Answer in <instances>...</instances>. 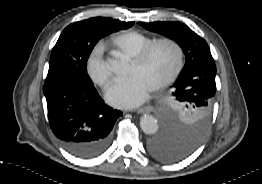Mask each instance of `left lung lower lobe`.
I'll return each mask as SVG.
<instances>
[{
  "mask_svg": "<svg viewBox=\"0 0 262 184\" xmlns=\"http://www.w3.org/2000/svg\"><path fill=\"white\" fill-rule=\"evenodd\" d=\"M208 63H214V60ZM196 148L188 143L169 137L164 131L148 143L149 152L155 158L164 162L182 161V159L191 155Z\"/></svg>",
  "mask_w": 262,
  "mask_h": 184,
  "instance_id": "1",
  "label": "left lung lower lobe"
}]
</instances>
